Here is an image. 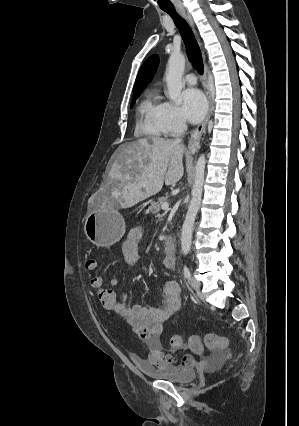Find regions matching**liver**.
Instances as JSON below:
<instances>
[{"label":"liver","mask_w":299,"mask_h":426,"mask_svg":"<svg viewBox=\"0 0 299 426\" xmlns=\"http://www.w3.org/2000/svg\"><path fill=\"white\" fill-rule=\"evenodd\" d=\"M185 147L171 139L141 138L121 145L104 189L114 203L130 208L158 193L163 184H176L184 174Z\"/></svg>","instance_id":"1"}]
</instances>
